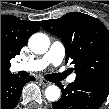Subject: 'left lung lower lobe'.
Instances as JSON below:
<instances>
[{"label":"left lung lower lobe","instance_id":"obj_1","mask_svg":"<svg viewBox=\"0 0 109 109\" xmlns=\"http://www.w3.org/2000/svg\"><path fill=\"white\" fill-rule=\"evenodd\" d=\"M62 97L53 109H98L109 95V86L89 79L76 78L66 88L60 84Z\"/></svg>","mask_w":109,"mask_h":109}]
</instances>
